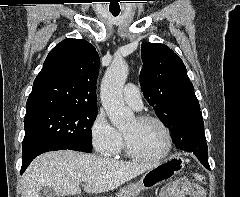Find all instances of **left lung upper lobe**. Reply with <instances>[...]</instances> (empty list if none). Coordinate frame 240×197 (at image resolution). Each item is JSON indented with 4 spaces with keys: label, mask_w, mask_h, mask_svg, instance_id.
Instances as JSON below:
<instances>
[{
    "label": "left lung upper lobe",
    "mask_w": 240,
    "mask_h": 197,
    "mask_svg": "<svg viewBox=\"0 0 240 197\" xmlns=\"http://www.w3.org/2000/svg\"><path fill=\"white\" fill-rule=\"evenodd\" d=\"M142 92L172 136L192 121L203 122L194 87L183 61L167 45L143 42ZM187 151L207 155V145H190Z\"/></svg>",
    "instance_id": "5c2ea615"
}]
</instances>
